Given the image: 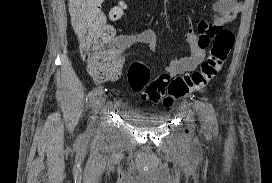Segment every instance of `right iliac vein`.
I'll list each match as a JSON object with an SVG mask.
<instances>
[{
	"mask_svg": "<svg viewBox=\"0 0 272 183\" xmlns=\"http://www.w3.org/2000/svg\"><path fill=\"white\" fill-rule=\"evenodd\" d=\"M104 101H105V97H104L103 93L96 97L94 116H93L91 124H90V130H93V126H94L95 119H96L95 115L97 114L98 109L101 107V105L104 103Z\"/></svg>",
	"mask_w": 272,
	"mask_h": 183,
	"instance_id": "right-iliac-vein-1",
	"label": "right iliac vein"
}]
</instances>
